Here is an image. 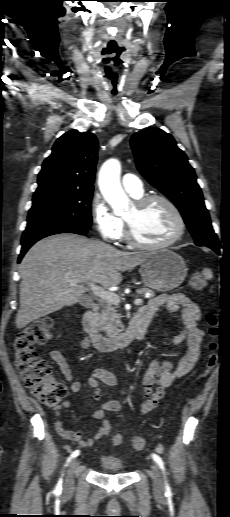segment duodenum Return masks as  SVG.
Instances as JSON below:
<instances>
[{
  "label": "duodenum",
  "instance_id": "1",
  "mask_svg": "<svg viewBox=\"0 0 230 517\" xmlns=\"http://www.w3.org/2000/svg\"><path fill=\"white\" fill-rule=\"evenodd\" d=\"M99 311L98 304H92L83 315L82 324L89 335L94 348L100 352H109L128 347L133 341L143 339L150 325L153 312L140 308L129 321L128 327L115 336H105L97 328L95 318Z\"/></svg>",
  "mask_w": 230,
  "mask_h": 517
}]
</instances>
